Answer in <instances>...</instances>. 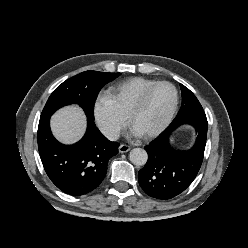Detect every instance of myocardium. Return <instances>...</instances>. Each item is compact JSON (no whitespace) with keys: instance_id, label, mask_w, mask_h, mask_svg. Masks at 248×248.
Wrapping results in <instances>:
<instances>
[{"instance_id":"obj_1","label":"myocardium","mask_w":248,"mask_h":248,"mask_svg":"<svg viewBox=\"0 0 248 248\" xmlns=\"http://www.w3.org/2000/svg\"><path fill=\"white\" fill-rule=\"evenodd\" d=\"M162 85H166L173 90V92H174L173 105H172V108H171L167 118L162 122V124L160 126H158L153 131L142 135V137L145 139H152V138L159 136L161 133H163L169 127V125L173 121V119L176 115V112L178 109V103H179V93H178V90L175 87V85H173L172 83H170L168 81L155 82L154 84H152L151 86H149L147 89H145L142 92V94L139 96V98L136 100V102L130 108L128 115H127L128 122L132 126L134 117L143 109V107L145 106L147 99L150 96V94L152 93V91L155 88H157L158 86H162Z\"/></svg>"}]
</instances>
